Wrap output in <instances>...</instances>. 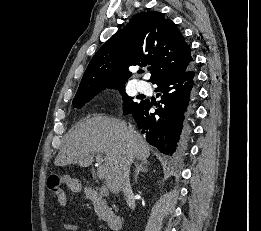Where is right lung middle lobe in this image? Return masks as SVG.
I'll list each match as a JSON object with an SVG mask.
<instances>
[{
	"instance_id": "obj_1",
	"label": "right lung middle lobe",
	"mask_w": 261,
	"mask_h": 231,
	"mask_svg": "<svg viewBox=\"0 0 261 231\" xmlns=\"http://www.w3.org/2000/svg\"><path fill=\"white\" fill-rule=\"evenodd\" d=\"M117 89L121 91V94L123 96V110L125 114H128L130 111L134 110L140 105L141 102H135L133 97H129L128 95H126V93L124 92V86L118 87ZM99 91L101 90L76 95L73 99L72 104L76 108H81L85 105V103L89 102L93 98V96L97 95Z\"/></svg>"
}]
</instances>
